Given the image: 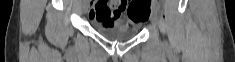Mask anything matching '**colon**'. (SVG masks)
<instances>
[{"instance_id": "5ec220e1", "label": "colon", "mask_w": 235, "mask_h": 62, "mask_svg": "<svg viewBox=\"0 0 235 62\" xmlns=\"http://www.w3.org/2000/svg\"><path fill=\"white\" fill-rule=\"evenodd\" d=\"M96 6L101 9L107 7L105 3H98ZM122 8L126 10V18L132 23L143 21L146 18L147 8L140 1H131L124 4Z\"/></svg>"}]
</instances>
